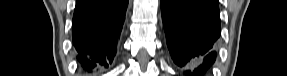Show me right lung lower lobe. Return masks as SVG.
I'll use <instances>...</instances> for the list:
<instances>
[{"label":"right lung lower lobe","mask_w":287,"mask_h":76,"mask_svg":"<svg viewBox=\"0 0 287 76\" xmlns=\"http://www.w3.org/2000/svg\"><path fill=\"white\" fill-rule=\"evenodd\" d=\"M128 0H77L73 15V44L88 72L108 67L116 54Z\"/></svg>","instance_id":"obj_1"}]
</instances>
